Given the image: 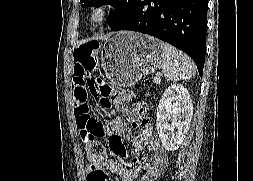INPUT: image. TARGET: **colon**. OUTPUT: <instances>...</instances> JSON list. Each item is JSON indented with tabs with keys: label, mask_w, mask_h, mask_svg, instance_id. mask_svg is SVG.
Masks as SVG:
<instances>
[{
	"label": "colon",
	"mask_w": 253,
	"mask_h": 181,
	"mask_svg": "<svg viewBox=\"0 0 253 181\" xmlns=\"http://www.w3.org/2000/svg\"><path fill=\"white\" fill-rule=\"evenodd\" d=\"M99 49L100 41L94 39L83 41L80 48L74 52L76 63L90 70L96 60H100ZM117 99L118 93L115 89L108 86L102 78L90 76L86 91L77 105L76 119L80 138L86 148L88 162L93 167H100V164L106 160V151L101 141L105 134V126L101 120L91 114V105L96 103L109 109Z\"/></svg>",
	"instance_id": "5ec220e1"
}]
</instances>
